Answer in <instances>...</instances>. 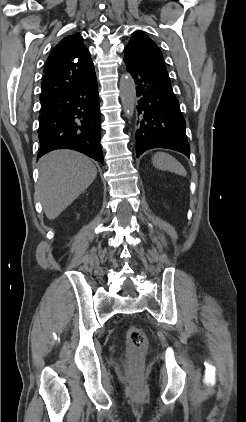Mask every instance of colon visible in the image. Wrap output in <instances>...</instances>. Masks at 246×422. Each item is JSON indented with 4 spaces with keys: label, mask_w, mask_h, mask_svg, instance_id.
I'll return each instance as SVG.
<instances>
[{
    "label": "colon",
    "mask_w": 246,
    "mask_h": 422,
    "mask_svg": "<svg viewBox=\"0 0 246 422\" xmlns=\"http://www.w3.org/2000/svg\"><path fill=\"white\" fill-rule=\"evenodd\" d=\"M127 355L132 365L138 364L147 349V337L143 330L137 326H131L127 330Z\"/></svg>",
    "instance_id": "5ec220e1"
}]
</instances>
